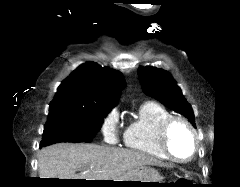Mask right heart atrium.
<instances>
[{
  "label": "right heart atrium",
  "mask_w": 240,
  "mask_h": 187,
  "mask_svg": "<svg viewBox=\"0 0 240 187\" xmlns=\"http://www.w3.org/2000/svg\"><path fill=\"white\" fill-rule=\"evenodd\" d=\"M100 131L106 143L116 144L118 142L120 130L117 110L113 109L104 116L100 125Z\"/></svg>",
  "instance_id": "1"
}]
</instances>
